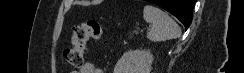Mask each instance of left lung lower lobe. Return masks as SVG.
Listing matches in <instances>:
<instances>
[{"label":"left lung lower lobe","instance_id":"left-lung-lower-lobe-1","mask_svg":"<svg viewBox=\"0 0 244 73\" xmlns=\"http://www.w3.org/2000/svg\"><path fill=\"white\" fill-rule=\"evenodd\" d=\"M176 16L186 28L192 21L195 0H148Z\"/></svg>","mask_w":244,"mask_h":73}]
</instances>
